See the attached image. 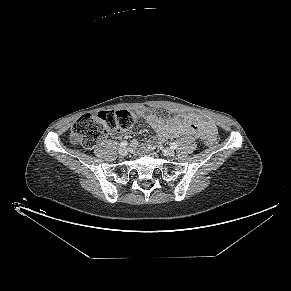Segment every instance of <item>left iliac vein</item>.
<instances>
[{
	"mask_svg": "<svg viewBox=\"0 0 291 291\" xmlns=\"http://www.w3.org/2000/svg\"><path fill=\"white\" fill-rule=\"evenodd\" d=\"M162 153H163L165 156H167V157H172V156L175 155V151H174V149H172V148H164V149L162 150Z\"/></svg>",
	"mask_w": 291,
	"mask_h": 291,
	"instance_id": "left-iliac-vein-1",
	"label": "left iliac vein"
}]
</instances>
